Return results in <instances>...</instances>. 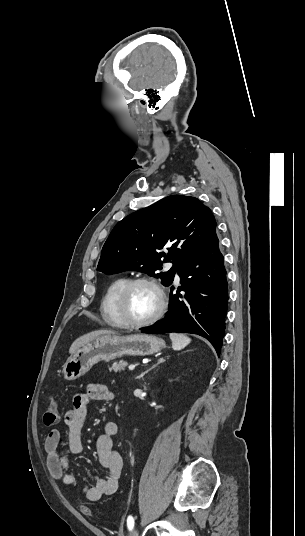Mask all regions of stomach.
<instances>
[{"label": "stomach", "instance_id": "1", "mask_svg": "<svg viewBox=\"0 0 305 536\" xmlns=\"http://www.w3.org/2000/svg\"><path fill=\"white\" fill-rule=\"evenodd\" d=\"M162 348H165V342L156 336H98L68 358L62 374L65 380H77L101 360H115L122 356H151Z\"/></svg>", "mask_w": 305, "mask_h": 536}]
</instances>
